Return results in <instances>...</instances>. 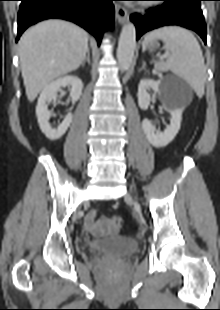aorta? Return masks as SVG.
<instances>
[{
  "label": "aorta",
  "instance_id": "obj_1",
  "mask_svg": "<svg viewBox=\"0 0 220 310\" xmlns=\"http://www.w3.org/2000/svg\"><path fill=\"white\" fill-rule=\"evenodd\" d=\"M136 47V30L132 23H127L123 26L117 49V59L119 67L122 71H126L134 57Z\"/></svg>",
  "mask_w": 220,
  "mask_h": 310
}]
</instances>
